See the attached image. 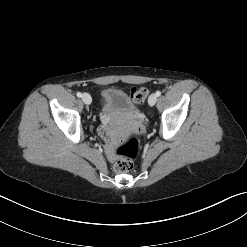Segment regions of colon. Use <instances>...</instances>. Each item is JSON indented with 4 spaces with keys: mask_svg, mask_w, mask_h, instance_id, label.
Returning <instances> with one entry per match:
<instances>
[{
    "mask_svg": "<svg viewBox=\"0 0 247 247\" xmlns=\"http://www.w3.org/2000/svg\"><path fill=\"white\" fill-rule=\"evenodd\" d=\"M147 95L148 91L146 88L131 89V97L137 103H142L146 99ZM141 133L142 126L140 124L134 125L130 136L118 139H114L110 134L102 129V135L106 145L110 149L113 167L116 172L126 173L134 168L139 154Z\"/></svg>",
    "mask_w": 247,
    "mask_h": 247,
    "instance_id": "1",
    "label": "colon"
}]
</instances>
